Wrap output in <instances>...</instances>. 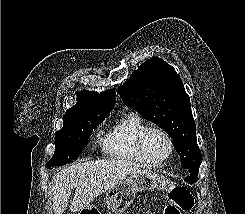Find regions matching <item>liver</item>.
<instances>
[{
  "label": "liver",
  "mask_w": 245,
  "mask_h": 214,
  "mask_svg": "<svg viewBox=\"0 0 245 214\" xmlns=\"http://www.w3.org/2000/svg\"><path fill=\"white\" fill-rule=\"evenodd\" d=\"M137 170L138 165L126 159L84 161L62 169L52 180L54 214H62L67 209L74 188L71 212L83 210Z\"/></svg>",
  "instance_id": "6515ba94"
}]
</instances>
